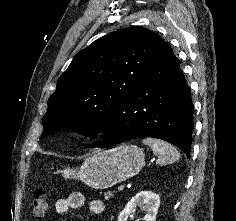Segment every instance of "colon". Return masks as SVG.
I'll use <instances>...</instances> for the list:
<instances>
[{
	"label": "colon",
	"instance_id": "1",
	"mask_svg": "<svg viewBox=\"0 0 236 221\" xmlns=\"http://www.w3.org/2000/svg\"><path fill=\"white\" fill-rule=\"evenodd\" d=\"M33 213L36 217H42L48 210V199L44 191L37 190L32 198Z\"/></svg>",
	"mask_w": 236,
	"mask_h": 221
}]
</instances>
